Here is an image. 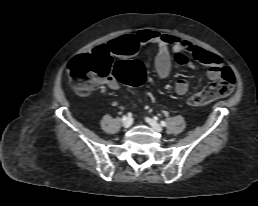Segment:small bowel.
Segmentation results:
<instances>
[{
	"label": "small bowel",
	"mask_w": 258,
	"mask_h": 206,
	"mask_svg": "<svg viewBox=\"0 0 258 206\" xmlns=\"http://www.w3.org/2000/svg\"><path fill=\"white\" fill-rule=\"evenodd\" d=\"M145 45H154L158 52L155 58V70L159 78L165 79L172 70V55L169 48L174 52V60L179 65L194 67V61L208 66V77L211 80L220 78L223 61L222 58L210 51L183 40L179 37L162 34L152 30H141L137 34L123 35L108 44L96 47L94 50H103L109 55L127 56L136 53V51ZM105 84L111 89L119 87L115 78L110 77ZM189 89V83L186 79H179L175 84V91L179 95H184Z\"/></svg>",
	"instance_id": "small-bowel-1"
}]
</instances>
